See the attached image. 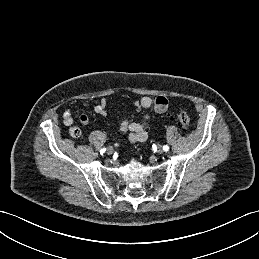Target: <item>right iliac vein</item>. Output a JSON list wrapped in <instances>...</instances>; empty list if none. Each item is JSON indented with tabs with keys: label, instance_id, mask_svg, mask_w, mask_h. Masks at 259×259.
I'll return each mask as SVG.
<instances>
[{
	"label": "right iliac vein",
	"instance_id": "1",
	"mask_svg": "<svg viewBox=\"0 0 259 259\" xmlns=\"http://www.w3.org/2000/svg\"><path fill=\"white\" fill-rule=\"evenodd\" d=\"M106 152L108 155H112L114 152V149L112 147H108Z\"/></svg>",
	"mask_w": 259,
	"mask_h": 259
}]
</instances>
